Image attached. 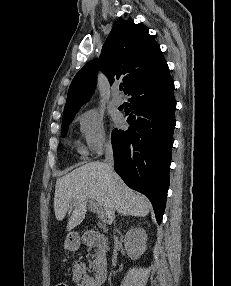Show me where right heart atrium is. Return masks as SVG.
<instances>
[{
    "label": "right heart atrium",
    "instance_id": "obj_1",
    "mask_svg": "<svg viewBox=\"0 0 231 286\" xmlns=\"http://www.w3.org/2000/svg\"><path fill=\"white\" fill-rule=\"evenodd\" d=\"M78 123L84 148L92 154L100 153L109 146L102 114L96 109H87L79 114Z\"/></svg>",
    "mask_w": 231,
    "mask_h": 286
}]
</instances>
